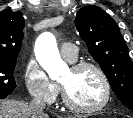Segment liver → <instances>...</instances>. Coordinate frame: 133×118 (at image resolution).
Returning a JSON list of instances; mask_svg holds the SVG:
<instances>
[{
    "mask_svg": "<svg viewBox=\"0 0 133 118\" xmlns=\"http://www.w3.org/2000/svg\"><path fill=\"white\" fill-rule=\"evenodd\" d=\"M0 118H37L28 103L17 100H0ZM43 118H48L44 115Z\"/></svg>",
    "mask_w": 133,
    "mask_h": 118,
    "instance_id": "liver-1",
    "label": "liver"
}]
</instances>
